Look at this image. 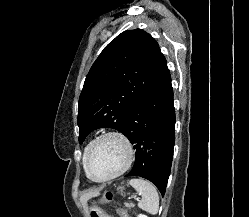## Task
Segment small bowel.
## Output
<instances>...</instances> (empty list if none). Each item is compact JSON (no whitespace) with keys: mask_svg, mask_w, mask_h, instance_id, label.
Instances as JSON below:
<instances>
[{"mask_svg":"<svg viewBox=\"0 0 249 217\" xmlns=\"http://www.w3.org/2000/svg\"><path fill=\"white\" fill-rule=\"evenodd\" d=\"M105 217H112V216H108V215H107V216H105Z\"/></svg>","mask_w":249,"mask_h":217,"instance_id":"obj_1","label":"small bowel"}]
</instances>
